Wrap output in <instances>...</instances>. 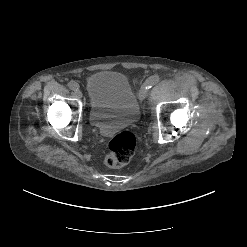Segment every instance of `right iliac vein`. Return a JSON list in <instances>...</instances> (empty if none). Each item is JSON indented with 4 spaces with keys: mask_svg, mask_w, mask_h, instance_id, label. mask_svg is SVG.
I'll list each match as a JSON object with an SVG mask.
<instances>
[{
    "mask_svg": "<svg viewBox=\"0 0 247 247\" xmlns=\"http://www.w3.org/2000/svg\"><path fill=\"white\" fill-rule=\"evenodd\" d=\"M75 93H76V95L78 96V97H82V92H81V90L80 89H77L76 91H75Z\"/></svg>",
    "mask_w": 247,
    "mask_h": 247,
    "instance_id": "obj_1",
    "label": "right iliac vein"
}]
</instances>
